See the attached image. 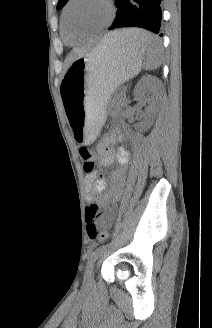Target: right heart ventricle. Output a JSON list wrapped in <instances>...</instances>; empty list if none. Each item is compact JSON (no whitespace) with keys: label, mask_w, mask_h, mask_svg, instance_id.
Returning <instances> with one entry per match:
<instances>
[{"label":"right heart ventricle","mask_w":212,"mask_h":328,"mask_svg":"<svg viewBox=\"0 0 212 328\" xmlns=\"http://www.w3.org/2000/svg\"><path fill=\"white\" fill-rule=\"evenodd\" d=\"M61 30H62V35L64 38L65 43L69 45H74L79 37L73 36L70 32H68L64 26L63 18H62V23H61Z\"/></svg>","instance_id":"right-heart-ventricle-1"}]
</instances>
